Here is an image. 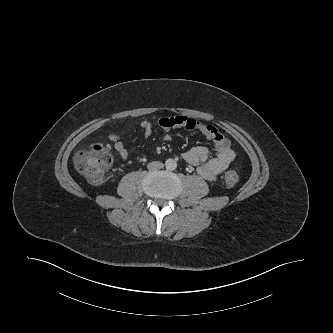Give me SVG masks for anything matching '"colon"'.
Masks as SVG:
<instances>
[{
	"instance_id": "colon-1",
	"label": "colon",
	"mask_w": 333,
	"mask_h": 333,
	"mask_svg": "<svg viewBox=\"0 0 333 333\" xmlns=\"http://www.w3.org/2000/svg\"><path fill=\"white\" fill-rule=\"evenodd\" d=\"M74 164L77 171L90 183L98 185L103 182L112 165V155L105 146L95 144L88 150L77 153ZM238 181L239 174L235 169L225 173L224 183L227 187L235 186Z\"/></svg>"
}]
</instances>
